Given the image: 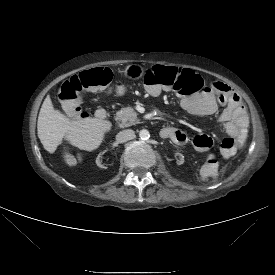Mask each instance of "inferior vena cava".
<instances>
[{
	"mask_svg": "<svg viewBox=\"0 0 275 275\" xmlns=\"http://www.w3.org/2000/svg\"><path fill=\"white\" fill-rule=\"evenodd\" d=\"M135 137V133L131 129L122 130L116 135V141L118 143H124Z\"/></svg>",
	"mask_w": 275,
	"mask_h": 275,
	"instance_id": "obj_1",
	"label": "inferior vena cava"
}]
</instances>
